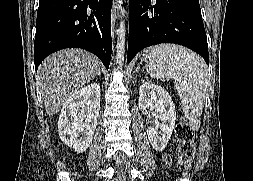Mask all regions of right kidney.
Masks as SVG:
<instances>
[{
	"instance_id": "1",
	"label": "right kidney",
	"mask_w": 253,
	"mask_h": 181,
	"mask_svg": "<svg viewBox=\"0 0 253 181\" xmlns=\"http://www.w3.org/2000/svg\"><path fill=\"white\" fill-rule=\"evenodd\" d=\"M100 111V86L91 83L73 93L64 103L58 132L62 142L77 153L92 143Z\"/></svg>"
}]
</instances>
